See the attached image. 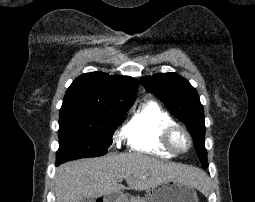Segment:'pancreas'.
Returning <instances> with one entry per match:
<instances>
[{"label": "pancreas", "instance_id": "cf45deb5", "mask_svg": "<svg viewBox=\"0 0 255 202\" xmlns=\"http://www.w3.org/2000/svg\"><path fill=\"white\" fill-rule=\"evenodd\" d=\"M130 202H147L144 198L137 197H130Z\"/></svg>", "mask_w": 255, "mask_h": 202}]
</instances>
